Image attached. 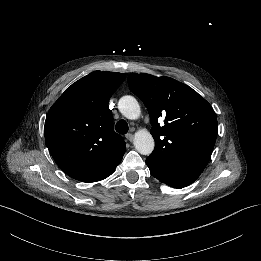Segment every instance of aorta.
Returning a JSON list of instances; mask_svg holds the SVG:
<instances>
[{"instance_id":"aorta-1","label":"aorta","mask_w":261,"mask_h":261,"mask_svg":"<svg viewBox=\"0 0 261 261\" xmlns=\"http://www.w3.org/2000/svg\"><path fill=\"white\" fill-rule=\"evenodd\" d=\"M120 112L127 118L134 119L140 114L138 101L130 95L123 96L118 101ZM135 149L141 155H150L154 150V140L148 132H139L134 139Z\"/></svg>"}]
</instances>
